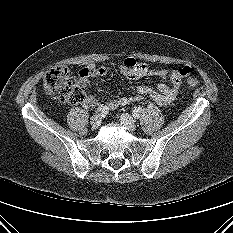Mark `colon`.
<instances>
[{
    "label": "colon",
    "instance_id": "colon-1",
    "mask_svg": "<svg viewBox=\"0 0 233 233\" xmlns=\"http://www.w3.org/2000/svg\"><path fill=\"white\" fill-rule=\"evenodd\" d=\"M191 72L190 67H183L179 71L181 77H187L188 86L195 88L199 82L191 76ZM43 87L47 93L55 95L63 103L79 104L85 99V93L76 85L66 66H57L47 71L43 78Z\"/></svg>",
    "mask_w": 233,
    "mask_h": 233
}]
</instances>
